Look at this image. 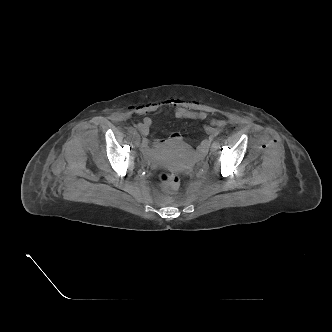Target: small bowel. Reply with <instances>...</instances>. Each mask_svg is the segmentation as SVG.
Wrapping results in <instances>:
<instances>
[{"label": "small bowel", "mask_w": 332, "mask_h": 332, "mask_svg": "<svg viewBox=\"0 0 332 332\" xmlns=\"http://www.w3.org/2000/svg\"><path fill=\"white\" fill-rule=\"evenodd\" d=\"M163 106H169L174 109V117L176 119H184V120H196V121H205L204 130L207 134V138L204 139L198 147V151L200 154H203L207 151L210 143L213 139L222 132L223 128L227 125L226 119H210L208 120V115L204 111H193L190 110L186 103L177 98H170L162 102L152 103L147 106V110L155 111ZM153 124V120L149 117H145L139 124L138 129L140 133L144 136L142 140V149L146 153H150V142L146 138L149 134L150 127ZM181 140V136L179 134H173L170 136V142H178ZM165 141H159L156 143L157 146H162Z\"/></svg>", "instance_id": "1"}]
</instances>
